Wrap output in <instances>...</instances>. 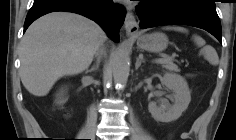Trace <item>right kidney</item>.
Listing matches in <instances>:
<instances>
[{
    "label": "right kidney",
    "mask_w": 236,
    "mask_h": 140,
    "mask_svg": "<svg viewBox=\"0 0 236 140\" xmlns=\"http://www.w3.org/2000/svg\"><path fill=\"white\" fill-rule=\"evenodd\" d=\"M66 102V99L63 98V91L61 93L58 94V98H57V101L56 103L59 104V105H62Z\"/></svg>",
    "instance_id": "1"
}]
</instances>
